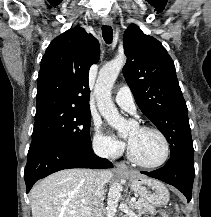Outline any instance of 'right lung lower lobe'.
I'll return each instance as SVG.
<instances>
[{"mask_svg":"<svg viewBox=\"0 0 211 217\" xmlns=\"http://www.w3.org/2000/svg\"><path fill=\"white\" fill-rule=\"evenodd\" d=\"M70 168H113L112 163L96 156L92 148L79 149L54 141L32 142L24 171L26 192L33 184L54 172Z\"/></svg>","mask_w":211,"mask_h":217,"instance_id":"98d812e1","label":"right lung lower lobe"}]
</instances>
